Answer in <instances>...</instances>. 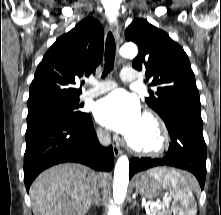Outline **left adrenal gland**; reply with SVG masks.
<instances>
[{
  "label": "left adrenal gland",
  "mask_w": 221,
  "mask_h": 215,
  "mask_svg": "<svg viewBox=\"0 0 221 215\" xmlns=\"http://www.w3.org/2000/svg\"><path fill=\"white\" fill-rule=\"evenodd\" d=\"M134 206L139 207V205H138V203H137V201L135 199H133V202H132V207H134Z\"/></svg>",
  "instance_id": "1"
}]
</instances>
